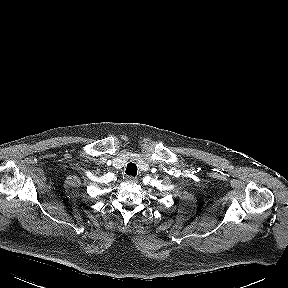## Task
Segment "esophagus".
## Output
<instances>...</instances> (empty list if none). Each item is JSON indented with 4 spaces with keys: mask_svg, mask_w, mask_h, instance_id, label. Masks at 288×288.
<instances>
[{
    "mask_svg": "<svg viewBox=\"0 0 288 288\" xmlns=\"http://www.w3.org/2000/svg\"><path fill=\"white\" fill-rule=\"evenodd\" d=\"M137 177H134V176H131V175H128V176H126V181L127 182H130V183H135V182H137Z\"/></svg>",
    "mask_w": 288,
    "mask_h": 288,
    "instance_id": "obj_1",
    "label": "esophagus"
}]
</instances>
